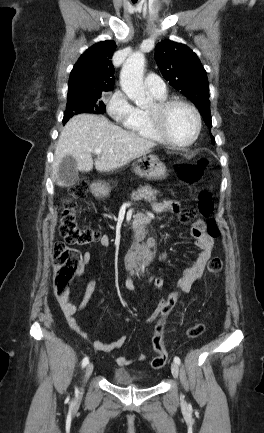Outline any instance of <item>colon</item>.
Returning <instances> with one entry per match:
<instances>
[{
  "mask_svg": "<svg viewBox=\"0 0 264 433\" xmlns=\"http://www.w3.org/2000/svg\"><path fill=\"white\" fill-rule=\"evenodd\" d=\"M211 163L208 159L200 160L196 165H181L176 168L178 178L183 183H195L206 178ZM71 198L65 200L62 205L59 230L64 240L57 244L54 249L53 265L55 269L54 291L57 297L68 293V288L75 277L79 263L80 254L74 246H86L100 241V233L89 226H82L78 222L77 206L74 200L86 197L88 188L85 182L80 181L71 187ZM214 204L211 195L207 190L200 192L197 199V211L202 216H211ZM195 216V213L182 211L179 219L188 222ZM207 232L212 237L220 234V229L214 218L207 222ZM208 271L216 273L222 268L220 257H212L208 262ZM179 299V292H171L159 307V317L154 328L152 338L153 348L156 355L151 360V366L155 369L162 368L167 362V353L163 345L165 325L167 318L175 309ZM205 330L203 323H197L187 330L189 338L199 337Z\"/></svg>",
  "mask_w": 264,
  "mask_h": 433,
  "instance_id": "5ec220e1",
  "label": "colon"
}]
</instances>
